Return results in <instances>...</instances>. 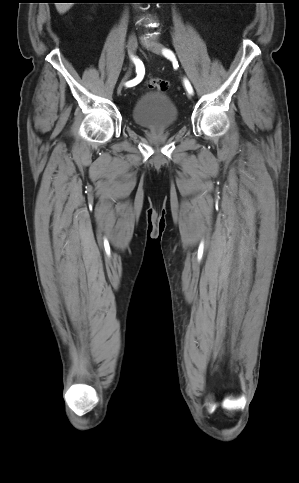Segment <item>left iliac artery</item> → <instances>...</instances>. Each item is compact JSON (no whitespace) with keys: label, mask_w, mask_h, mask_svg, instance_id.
I'll use <instances>...</instances> for the list:
<instances>
[{"label":"left iliac artery","mask_w":299,"mask_h":483,"mask_svg":"<svg viewBox=\"0 0 299 483\" xmlns=\"http://www.w3.org/2000/svg\"><path fill=\"white\" fill-rule=\"evenodd\" d=\"M163 54H164V55H165L167 58H169V59H174V58H175V56H174L173 52H172V51H170V50H167V49H166V50H163ZM185 86H186V89H187V91H188L189 93H192V92H193L192 87H191V85H190V83H189V81H188V80H185Z\"/></svg>","instance_id":"left-iliac-artery-1"}]
</instances>
